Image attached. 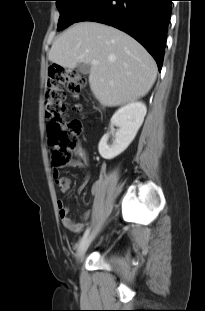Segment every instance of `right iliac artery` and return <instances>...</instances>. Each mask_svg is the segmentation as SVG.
<instances>
[{
	"mask_svg": "<svg viewBox=\"0 0 205 311\" xmlns=\"http://www.w3.org/2000/svg\"><path fill=\"white\" fill-rule=\"evenodd\" d=\"M90 230H91V228H90V227H88V228L85 230V232H84V234H83V236H82V239H81V240H83L85 237H87V236L89 235Z\"/></svg>",
	"mask_w": 205,
	"mask_h": 311,
	"instance_id": "1",
	"label": "right iliac artery"
}]
</instances>
